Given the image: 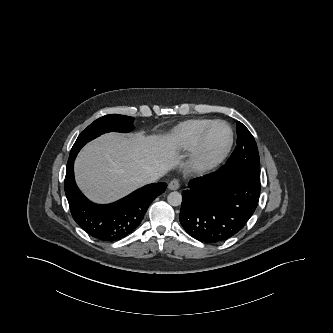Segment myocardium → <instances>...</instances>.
Masks as SVG:
<instances>
[{
	"label": "myocardium",
	"mask_w": 333,
	"mask_h": 333,
	"mask_svg": "<svg viewBox=\"0 0 333 333\" xmlns=\"http://www.w3.org/2000/svg\"><path fill=\"white\" fill-rule=\"evenodd\" d=\"M224 125L228 131V137L224 146L215 154H209L207 148L213 128L218 125ZM234 141V134L231 126L224 120L213 121L201 136L199 142L191 154L192 164L202 171H209L220 165L228 156Z\"/></svg>",
	"instance_id": "f54148a6"
}]
</instances>
